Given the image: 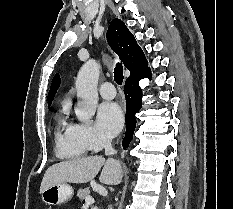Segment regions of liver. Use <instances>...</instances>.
Masks as SVG:
<instances>
[{
    "label": "liver",
    "mask_w": 233,
    "mask_h": 209,
    "mask_svg": "<svg viewBox=\"0 0 233 209\" xmlns=\"http://www.w3.org/2000/svg\"><path fill=\"white\" fill-rule=\"evenodd\" d=\"M103 167L99 181L106 185H118L122 181L121 164L105 160L102 156H90L62 161L50 166L44 174L40 194L47 188L60 183H86L92 181Z\"/></svg>",
    "instance_id": "liver-1"
}]
</instances>
